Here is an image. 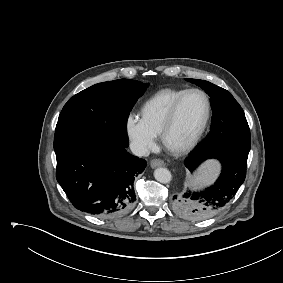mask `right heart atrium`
Returning <instances> with one entry per match:
<instances>
[{
  "mask_svg": "<svg viewBox=\"0 0 283 283\" xmlns=\"http://www.w3.org/2000/svg\"><path fill=\"white\" fill-rule=\"evenodd\" d=\"M125 130L136 154L144 155L154 147L156 136L145 127L140 118L129 115L126 118Z\"/></svg>",
  "mask_w": 283,
  "mask_h": 283,
  "instance_id": "obj_1",
  "label": "right heart atrium"
}]
</instances>
